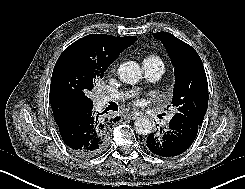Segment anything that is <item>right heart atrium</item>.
<instances>
[{
    "label": "right heart atrium",
    "mask_w": 245,
    "mask_h": 189,
    "mask_svg": "<svg viewBox=\"0 0 245 189\" xmlns=\"http://www.w3.org/2000/svg\"><path fill=\"white\" fill-rule=\"evenodd\" d=\"M115 69V65H112V70H114Z\"/></svg>",
    "instance_id": "1"
}]
</instances>
